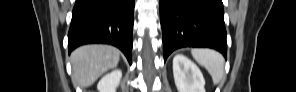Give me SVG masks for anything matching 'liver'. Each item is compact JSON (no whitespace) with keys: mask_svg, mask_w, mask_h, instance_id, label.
Returning <instances> with one entry per match:
<instances>
[{"mask_svg":"<svg viewBox=\"0 0 296 92\" xmlns=\"http://www.w3.org/2000/svg\"><path fill=\"white\" fill-rule=\"evenodd\" d=\"M120 50L110 45H84L71 53L72 80L80 87L91 86L108 70L115 68Z\"/></svg>","mask_w":296,"mask_h":92,"instance_id":"1","label":"liver"}]
</instances>
